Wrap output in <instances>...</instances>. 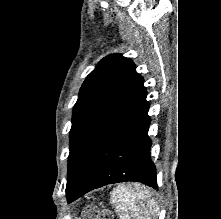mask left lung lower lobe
Returning a JSON list of instances; mask_svg holds the SVG:
<instances>
[{
	"label": "left lung lower lobe",
	"mask_w": 221,
	"mask_h": 219,
	"mask_svg": "<svg viewBox=\"0 0 221 219\" xmlns=\"http://www.w3.org/2000/svg\"><path fill=\"white\" fill-rule=\"evenodd\" d=\"M146 90L112 124L86 162L73 190L72 202L83 194L125 181H136L157 188L154 163L150 159L151 141Z\"/></svg>",
	"instance_id": "1"
}]
</instances>
